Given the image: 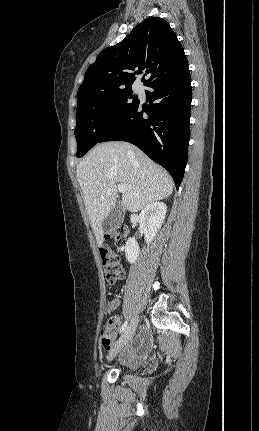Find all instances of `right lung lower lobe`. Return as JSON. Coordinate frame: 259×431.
<instances>
[{
    "mask_svg": "<svg viewBox=\"0 0 259 431\" xmlns=\"http://www.w3.org/2000/svg\"><path fill=\"white\" fill-rule=\"evenodd\" d=\"M148 87L147 108L140 103L101 142L128 141L169 171L178 189L188 160L191 77L188 63ZM143 112L148 118L143 117Z\"/></svg>",
    "mask_w": 259,
    "mask_h": 431,
    "instance_id": "obj_1",
    "label": "right lung lower lobe"
}]
</instances>
